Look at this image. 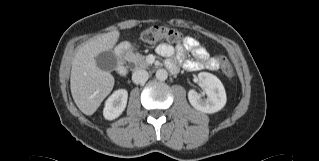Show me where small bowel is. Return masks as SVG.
<instances>
[{
  "label": "small bowel",
  "mask_w": 319,
  "mask_h": 161,
  "mask_svg": "<svg viewBox=\"0 0 319 161\" xmlns=\"http://www.w3.org/2000/svg\"><path fill=\"white\" fill-rule=\"evenodd\" d=\"M186 51L191 52L195 60H185ZM157 52L163 57H171L176 53L179 61L185 60L184 67L189 71H197L203 68L211 69L210 63L218 59V57H210L207 50L191 37L186 38L184 43L176 48L167 43H162L157 47ZM167 66L171 71H176L178 67L174 60H168Z\"/></svg>",
  "instance_id": "1"
}]
</instances>
